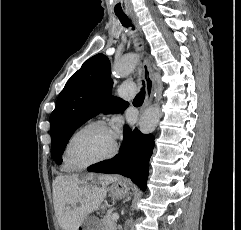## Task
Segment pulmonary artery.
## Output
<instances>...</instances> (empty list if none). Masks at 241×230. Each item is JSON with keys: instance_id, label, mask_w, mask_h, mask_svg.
Instances as JSON below:
<instances>
[{"instance_id": "obj_1", "label": "pulmonary artery", "mask_w": 241, "mask_h": 230, "mask_svg": "<svg viewBox=\"0 0 241 230\" xmlns=\"http://www.w3.org/2000/svg\"><path fill=\"white\" fill-rule=\"evenodd\" d=\"M135 94L134 83L128 82L121 84L117 89V95L123 99H131Z\"/></svg>"}]
</instances>
